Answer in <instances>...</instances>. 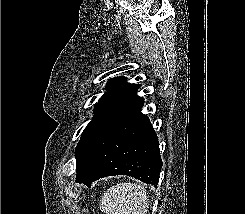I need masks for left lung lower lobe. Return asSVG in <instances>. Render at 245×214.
<instances>
[{
    "label": "left lung lower lobe",
    "mask_w": 245,
    "mask_h": 214,
    "mask_svg": "<svg viewBox=\"0 0 245 214\" xmlns=\"http://www.w3.org/2000/svg\"><path fill=\"white\" fill-rule=\"evenodd\" d=\"M143 101L108 126L78 157L76 182L128 175L156 186L162 160L157 135L141 113Z\"/></svg>",
    "instance_id": "1"
}]
</instances>
